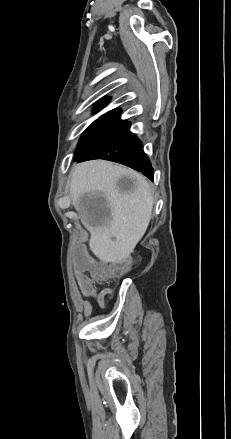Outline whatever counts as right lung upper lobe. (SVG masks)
<instances>
[{
	"label": "right lung upper lobe",
	"instance_id": "obj_1",
	"mask_svg": "<svg viewBox=\"0 0 231 439\" xmlns=\"http://www.w3.org/2000/svg\"><path fill=\"white\" fill-rule=\"evenodd\" d=\"M109 101V99L107 97L101 99L95 106L94 112L99 111L101 108H103L107 102ZM120 109H113L109 112H107L106 114L102 115L100 118H109V119H119L120 120Z\"/></svg>",
	"mask_w": 231,
	"mask_h": 439
}]
</instances>
